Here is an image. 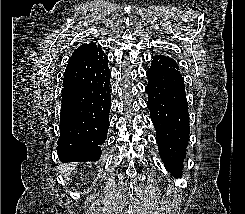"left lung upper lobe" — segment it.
Here are the masks:
<instances>
[{
  "instance_id": "obj_1",
  "label": "left lung upper lobe",
  "mask_w": 245,
  "mask_h": 214,
  "mask_svg": "<svg viewBox=\"0 0 245 214\" xmlns=\"http://www.w3.org/2000/svg\"><path fill=\"white\" fill-rule=\"evenodd\" d=\"M153 63L154 64H159L162 65L164 67H170V68H174V69H179L175 60H173L172 58L168 57V56H164V55H156L153 57Z\"/></svg>"
}]
</instances>
